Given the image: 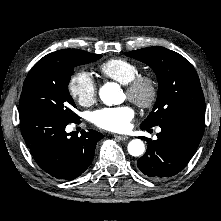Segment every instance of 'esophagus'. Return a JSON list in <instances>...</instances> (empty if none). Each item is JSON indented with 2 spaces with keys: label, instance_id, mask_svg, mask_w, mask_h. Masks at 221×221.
Wrapping results in <instances>:
<instances>
[{
  "label": "esophagus",
  "instance_id": "34e87169",
  "mask_svg": "<svg viewBox=\"0 0 221 221\" xmlns=\"http://www.w3.org/2000/svg\"><path fill=\"white\" fill-rule=\"evenodd\" d=\"M114 137L117 139V140H120V141H126L129 139L128 136H124V135H114Z\"/></svg>",
  "mask_w": 221,
  "mask_h": 221
}]
</instances>
